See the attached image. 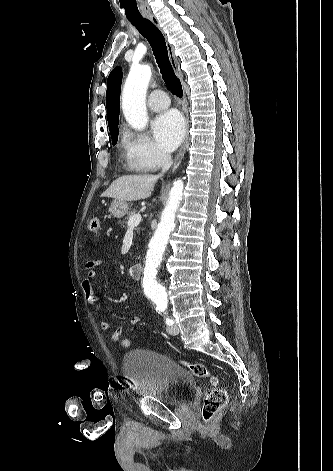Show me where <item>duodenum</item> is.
Segmentation results:
<instances>
[{
    "label": "duodenum",
    "instance_id": "1",
    "mask_svg": "<svg viewBox=\"0 0 333 471\" xmlns=\"http://www.w3.org/2000/svg\"><path fill=\"white\" fill-rule=\"evenodd\" d=\"M142 273V266L140 264H133L129 267V274L134 279H139Z\"/></svg>",
    "mask_w": 333,
    "mask_h": 471
}]
</instances>
